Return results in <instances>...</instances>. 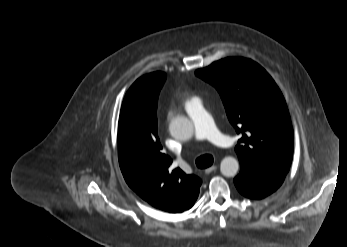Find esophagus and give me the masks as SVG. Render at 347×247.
<instances>
[{
	"label": "esophagus",
	"instance_id": "esophagus-1",
	"mask_svg": "<svg viewBox=\"0 0 347 247\" xmlns=\"http://www.w3.org/2000/svg\"><path fill=\"white\" fill-rule=\"evenodd\" d=\"M216 169H217V165H212V166L206 168L205 172H206L207 174H209V173H211L212 171H215Z\"/></svg>",
	"mask_w": 347,
	"mask_h": 247
}]
</instances>
